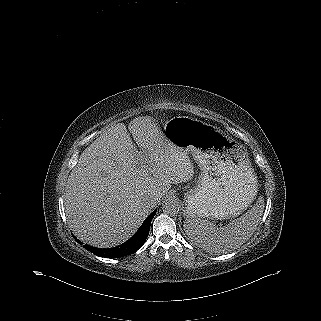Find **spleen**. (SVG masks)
Returning a JSON list of instances; mask_svg holds the SVG:
<instances>
[{
	"instance_id": "spleen-1",
	"label": "spleen",
	"mask_w": 321,
	"mask_h": 321,
	"mask_svg": "<svg viewBox=\"0 0 321 321\" xmlns=\"http://www.w3.org/2000/svg\"><path fill=\"white\" fill-rule=\"evenodd\" d=\"M264 198L240 218L217 227L206 219L187 218L184 229L191 241L209 253L223 254L244 244L255 232L264 212Z\"/></svg>"
}]
</instances>
